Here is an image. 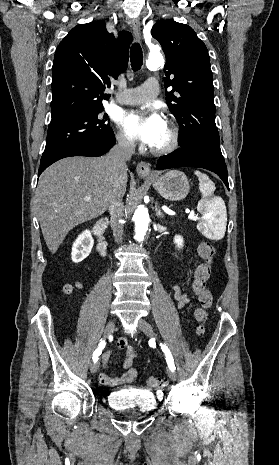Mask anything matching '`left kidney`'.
Listing matches in <instances>:
<instances>
[{
	"label": "left kidney",
	"instance_id": "1",
	"mask_svg": "<svg viewBox=\"0 0 279 465\" xmlns=\"http://www.w3.org/2000/svg\"><path fill=\"white\" fill-rule=\"evenodd\" d=\"M173 242L176 244V247H177L178 249H181V248L183 247V237H182V236L176 235V236L174 237Z\"/></svg>",
	"mask_w": 279,
	"mask_h": 465
}]
</instances>
